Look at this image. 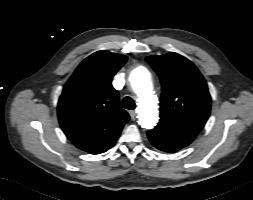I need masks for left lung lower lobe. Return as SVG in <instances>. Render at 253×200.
I'll list each match as a JSON object with an SVG mask.
<instances>
[{
	"mask_svg": "<svg viewBox=\"0 0 253 200\" xmlns=\"http://www.w3.org/2000/svg\"><path fill=\"white\" fill-rule=\"evenodd\" d=\"M147 134L150 142L165 152H176L188 146L197 136V132L164 123H158Z\"/></svg>",
	"mask_w": 253,
	"mask_h": 200,
	"instance_id": "obj_1",
	"label": "left lung lower lobe"
}]
</instances>
